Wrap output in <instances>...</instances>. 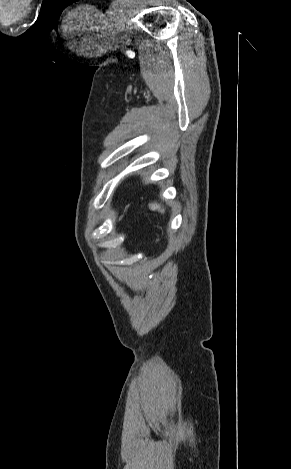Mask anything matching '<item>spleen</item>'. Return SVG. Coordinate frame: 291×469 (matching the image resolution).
Here are the masks:
<instances>
[{
  "instance_id": "1",
  "label": "spleen",
  "mask_w": 291,
  "mask_h": 469,
  "mask_svg": "<svg viewBox=\"0 0 291 469\" xmlns=\"http://www.w3.org/2000/svg\"><path fill=\"white\" fill-rule=\"evenodd\" d=\"M149 208H150L151 210H153V211L158 210V211L161 212V213H164V212H165V210H164L163 208H161V206H160L159 204H157V203H150V204H149Z\"/></svg>"
}]
</instances>
